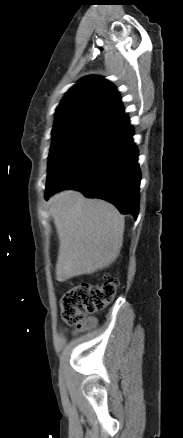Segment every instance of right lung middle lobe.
I'll return each instance as SVG.
<instances>
[{
  "mask_svg": "<svg viewBox=\"0 0 183 438\" xmlns=\"http://www.w3.org/2000/svg\"><path fill=\"white\" fill-rule=\"evenodd\" d=\"M98 129L77 127L52 133L53 143L49 154L47 185L72 160Z\"/></svg>",
  "mask_w": 183,
  "mask_h": 438,
  "instance_id": "obj_1",
  "label": "right lung middle lobe"
}]
</instances>
